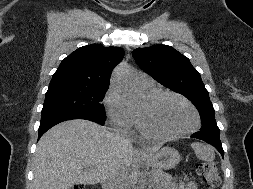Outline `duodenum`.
<instances>
[{
    "mask_svg": "<svg viewBox=\"0 0 253 189\" xmlns=\"http://www.w3.org/2000/svg\"><path fill=\"white\" fill-rule=\"evenodd\" d=\"M104 189H108V186L107 185H105V188Z\"/></svg>",
    "mask_w": 253,
    "mask_h": 189,
    "instance_id": "410a0bca",
    "label": "duodenum"
}]
</instances>
